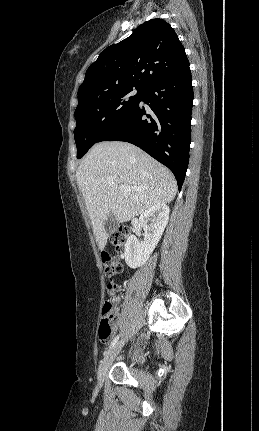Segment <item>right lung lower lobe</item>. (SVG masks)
Returning a JSON list of instances; mask_svg holds the SVG:
<instances>
[{
  "instance_id": "1",
  "label": "right lung lower lobe",
  "mask_w": 259,
  "mask_h": 431,
  "mask_svg": "<svg viewBox=\"0 0 259 431\" xmlns=\"http://www.w3.org/2000/svg\"><path fill=\"white\" fill-rule=\"evenodd\" d=\"M192 103L187 65L146 88L140 102L98 142L126 141L140 147L173 172L180 190L189 162Z\"/></svg>"
}]
</instances>
